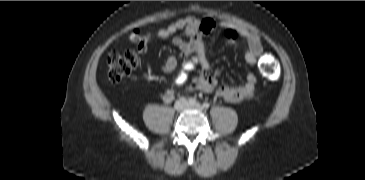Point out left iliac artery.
<instances>
[{
	"mask_svg": "<svg viewBox=\"0 0 365 180\" xmlns=\"http://www.w3.org/2000/svg\"><path fill=\"white\" fill-rule=\"evenodd\" d=\"M209 106H210V104H209L208 102H204V103H203V107H204L205 109H208V108H209Z\"/></svg>",
	"mask_w": 365,
	"mask_h": 180,
	"instance_id": "1",
	"label": "left iliac artery"
}]
</instances>
